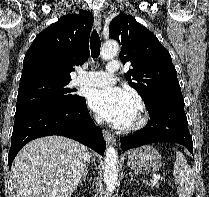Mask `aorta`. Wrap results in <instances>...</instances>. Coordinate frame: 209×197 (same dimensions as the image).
I'll return each instance as SVG.
<instances>
[{
  "label": "aorta",
  "instance_id": "obj_1",
  "mask_svg": "<svg viewBox=\"0 0 209 197\" xmlns=\"http://www.w3.org/2000/svg\"><path fill=\"white\" fill-rule=\"evenodd\" d=\"M119 52V44L116 41H107L101 49V57L109 60ZM104 183L108 191L112 192L118 183V156L114 147L110 146L105 152Z\"/></svg>",
  "mask_w": 209,
  "mask_h": 197
}]
</instances>
